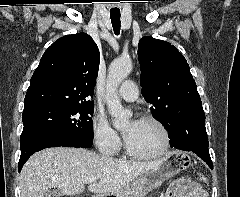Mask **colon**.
Segmentation results:
<instances>
[{
  "mask_svg": "<svg viewBox=\"0 0 240 197\" xmlns=\"http://www.w3.org/2000/svg\"><path fill=\"white\" fill-rule=\"evenodd\" d=\"M198 179H199L200 181L204 182V183L207 182V177H206V175L203 174V173H199V174H198Z\"/></svg>",
  "mask_w": 240,
  "mask_h": 197,
  "instance_id": "1",
  "label": "colon"
}]
</instances>
